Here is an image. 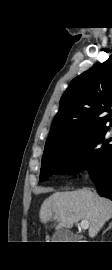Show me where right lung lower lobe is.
Masks as SVG:
<instances>
[{
  "label": "right lung lower lobe",
  "mask_w": 112,
  "mask_h": 270,
  "mask_svg": "<svg viewBox=\"0 0 112 270\" xmlns=\"http://www.w3.org/2000/svg\"><path fill=\"white\" fill-rule=\"evenodd\" d=\"M89 174L97 187L98 193L112 200V149L107 154L102 166Z\"/></svg>",
  "instance_id": "right-lung-lower-lobe-1"
}]
</instances>
